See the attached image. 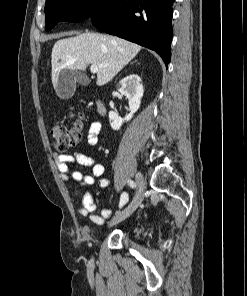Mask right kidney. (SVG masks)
Listing matches in <instances>:
<instances>
[{"mask_svg": "<svg viewBox=\"0 0 247 296\" xmlns=\"http://www.w3.org/2000/svg\"><path fill=\"white\" fill-rule=\"evenodd\" d=\"M119 92L125 95L129 100L130 113L122 119L115 112H109V121L113 130H119L122 124L126 121H130L134 113L139 109L141 104V98L143 96V85L141 78L136 74H131L123 78L119 82Z\"/></svg>", "mask_w": 247, "mask_h": 296, "instance_id": "obj_1", "label": "right kidney"}]
</instances>
